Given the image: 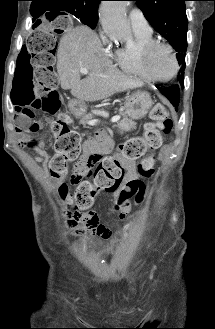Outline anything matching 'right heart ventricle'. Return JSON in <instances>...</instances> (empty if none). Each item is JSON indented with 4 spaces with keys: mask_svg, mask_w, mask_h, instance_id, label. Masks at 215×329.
Wrapping results in <instances>:
<instances>
[{
    "mask_svg": "<svg viewBox=\"0 0 215 329\" xmlns=\"http://www.w3.org/2000/svg\"><path fill=\"white\" fill-rule=\"evenodd\" d=\"M134 34V43L116 50L114 53V59L123 71L142 79L149 80L144 75L141 68L140 51L146 44L153 41V37L151 33L134 32Z\"/></svg>",
    "mask_w": 215,
    "mask_h": 329,
    "instance_id": "1",
    "label": "right heart ventricle"
}]
</instances>
